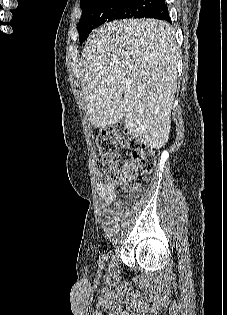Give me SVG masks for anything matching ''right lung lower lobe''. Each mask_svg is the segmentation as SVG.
<instances>
[{"label": "right lung lower lobe", "instance_id": "right-lung-lower-lobe-1", "mask_svg": "<svg viewBox=\"0 0 227 315\" xmlns=\"http://www.w3.org/2000/svg\"><path fill=\"white\" fill-rule=\"evenodd\" d=\"M146 18H157L161 20L170 21L168 8L165 0H159L157 5L153 9L149 10L148 14L146 15Z\"/></svg>", "mask_w": 227, "mask_h": 315}]
</instances>
